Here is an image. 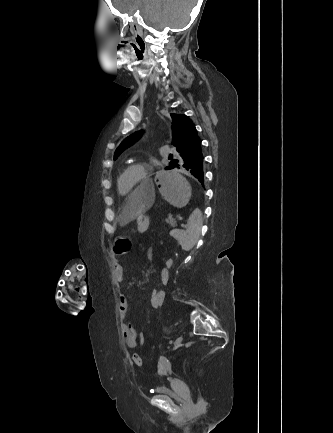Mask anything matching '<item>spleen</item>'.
<instances>
[{"label":"spleen","mask_w":333,"mask_h":433,"mask_svg":"<svg viewBox=\"0 0 333 433\" xmlns=\"http://www.w3.org/2000/svg\"><path fill=\"white\" fill-rule=\"evenodd\" d=\"M202 218L203 213L200 207L195 206L192 209L187 226L184 229H176L171 233V236L179 242L184 251H190L199 240Z\"/></svg>","instance_id":"1"}]
</instances>
